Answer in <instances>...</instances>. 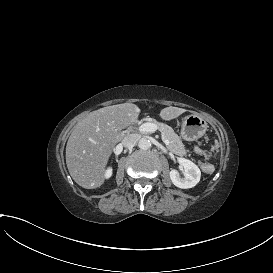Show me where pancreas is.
<instances>
[{"mask_svg":"<svg viewBox=\"0 0 273 273\" xmlns=\"http://www.w3.org/2000/svg\"><path fill=\"white\" fill-rule=\"evenodd\" d=\"M157 129L162 132V134L165 136V138L169 141V144L166 146L168 150H170L172 153L178 155V156H186L187 150L184 147L180 137L175 134L174 130L167 126L163 125L161 123H158L156 121L153 122Z\"/></svg>","mask_w":273,"mask_h":273,"instance_id":"cf45deb5","label":"pancreas"}]
</instances>
